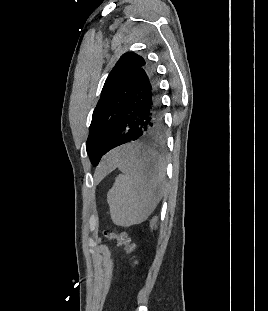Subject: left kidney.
Returning <instances> with one entry per match:
<instances>
[{"mask_svg": "<svg viewBox=\"0 0 268 311\" xmlns=\"http://www.w3.org/2000/svg\"><path fill=\"white\" fill-rule=\"evenodd\" d=\"M155 223H156V218L153 219L152 225H154Z\"/></svg>", "mask_w": 268, "mask_h": 311, "instance_id": "1", "label": "left kidney"}]
</instances>
